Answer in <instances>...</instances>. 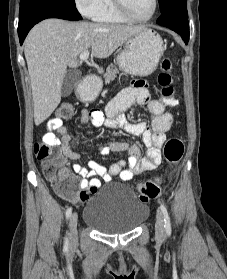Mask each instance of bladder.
<instances>
[{
	"mask_svg": "<svg viewBox=\"0 0 227 279\" xmlns=\"http://www.w3.org/2000/svg\"><path fill=\"white\" fill-rule=\"evenodd\" d=\"M149 214V208L127 186L118 185L106 193L99 190L86 204L83 222L104 234L133 231Z\"/></svg>",
	"mask_w": 227,
	"mask_h": 279,
	"instance_id": "obj_1",
	"label": "bladder"
}]
</instances>
